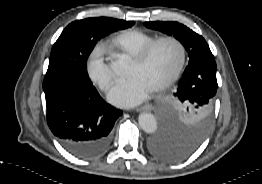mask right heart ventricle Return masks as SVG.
I'll use <instances>...</instances> for the list:
<instances>
[{"label":"right heart ventricle","instance_id":"e07e8e85","mask_svg":"<svg viewBox=\"0 0 262 184\" xmlns=\"http://www.w3.org/2000/svg\"><path fill=\"white\" fill-rule=\"evenodd\" d=\"M158 37L137 29H128L120 32L111 40V46L117 56L133 58L145 46Z\"/></svg>","mask_w":262,"mask_h":184}]
</instances>
